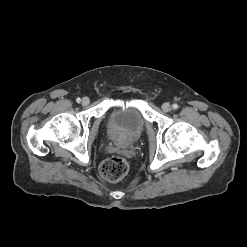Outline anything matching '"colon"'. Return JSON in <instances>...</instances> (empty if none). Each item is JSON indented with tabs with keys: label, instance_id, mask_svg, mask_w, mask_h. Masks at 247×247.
Segmentation results:
<instances>
[{
	"label": "colon",
	"instance_id": "colon-1",
	"mask_svg": "<svg viewBox=\"0 0 247 247\" xmlns=\"http://www.w3.org/2000/svg\"><path fill=\"white\" fill-rule=\"evenodd\" d=\"M128 169V163L124 158L111 157L100 164L99 173L104 179L110 182H118L125 180Z\"/></svg>",
	"mask_w": 247,
	"mask_h": 247
}]
</instances>
